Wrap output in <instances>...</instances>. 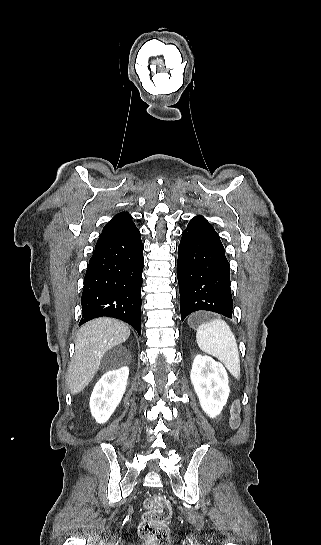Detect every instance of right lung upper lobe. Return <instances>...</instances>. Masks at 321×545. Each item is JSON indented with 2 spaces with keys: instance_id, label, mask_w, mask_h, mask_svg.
I'll use <instances>...</instances> for the list:
<instances>
[{
  "instance_id": "1",
  "label": "right lung upper lobe",
  "mask_w": 321,
  "mask_h": 545,
  "mask_svg": "<svg viewBox=\"0 0 321 545\" xmlns=\"http://www.w3.org/2000/svg\"><path fill=\"white\" fill-rule=\"evenodd\" d=\"M133 225L134 223L132 222V217L128 214V212L118 213L112 218L111 221H109L105 225V227L102 230V233L100 234V237L116 232V231L123 230Z\"/></svg>"
}]
</instances>
